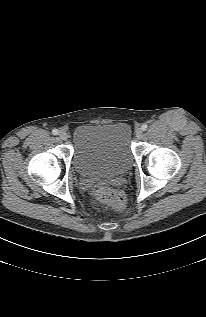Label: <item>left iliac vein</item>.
Masks as SVG:
<instances>
[{
	"mask_svg": "<svg viewBox=\"0 0 206 317\" xmlns=\"http://www.w3.org/2000/svg\"><path fill=\"white\" fill-rule=\"evenodd\" d=\"M135 135H136L137 138H141L142 135H143L142 129H141V128H138V129L136 130V132H135Z\"/></svg>",
	"mask_w": 206,
	"mask_h": 317,
	"instance_id": "1",
	"label": "left iliac vein"
}]
</instances>
